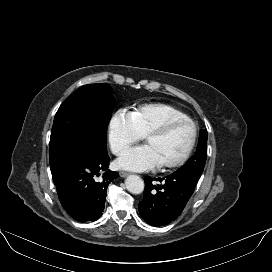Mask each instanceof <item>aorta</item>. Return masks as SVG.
Returning <instances> with one entry per match:
<instances>
[{
  "instance_id": "aorta-1",
  "label": "aorta",
  "mask_w": 272,
  "mask_h": 272,
  "mask_svg": "<svg viewBox=\"0 0 272 272\" xmlns=\"http://www.w3.org/2000/svg\"><path fill=\"white\" fill-rule=\"evenodd\" d=\"M126 189L132 194H140L144 190V181L137 175H129L125 179Z\"/></svg>"
}]
</instances>
